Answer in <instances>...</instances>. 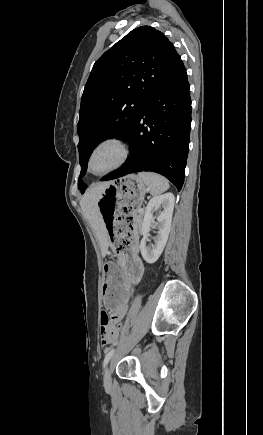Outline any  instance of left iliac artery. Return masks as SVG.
<instances>
[{"label":"left iliac artery","mask_w":263,"mask_h":435,"mask_svg":"<svg viewBox=\"0 0 263 435\" xmlns=\"http://www.w3.org/2000/svg\"><path fill=\"white\" fill-rule=\"evenodd\" d=\"M115 349H111L105 356L104 361H103V368H105V366L108 364L110 358L112 357V355L114 354Z\"/></svg>","instance_id":"1"}]
</instances>
